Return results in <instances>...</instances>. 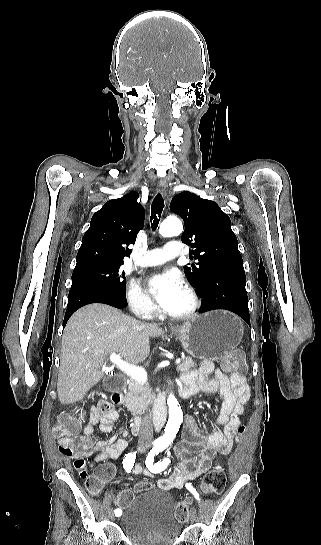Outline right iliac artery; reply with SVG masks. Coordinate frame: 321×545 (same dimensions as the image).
Masks as SVG:
<instances>
[{"mask_svg":"<svg viewBox=\"0 0 321 545\" xmlns=\"http://www.w3.org/2000/svg\"><path fill=\"white\" fill-rule=\"evenodd\" d=\"M136 458V452H130L124 456L123 467L127 472H131ZM115 515H120V511L117 509L114 511Z\"/></svg>","mask_w":321,"mask_h":545,"instance_id":"right-iliac-artery-1","label":"right iliac artery"}]
</instances>
